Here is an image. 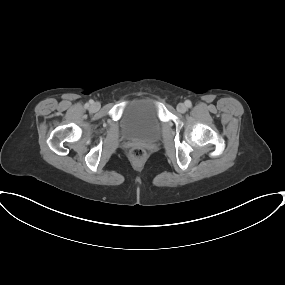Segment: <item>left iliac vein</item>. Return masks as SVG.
Segmentation results:
<instances>
[{
  "label": "left iliac vein",
  "mask_w": 285,
  "mask_h": 285,
  "mask_svg": "<svg viewBox=\"0 0 285 285\" xmlns=\"http://www.w3.org/2000/svg\"><path fill=\"white\" fill-rule=\"evenodd\" d=\"M177 110H178V112H180V113H184V112H186L187 107H186V105H185L184 103H179V104L177 105Z\"/></svg>",
  "instance_id": "1"
}]
</instances>
